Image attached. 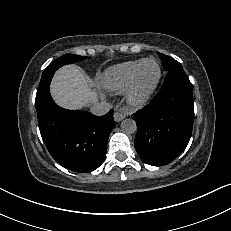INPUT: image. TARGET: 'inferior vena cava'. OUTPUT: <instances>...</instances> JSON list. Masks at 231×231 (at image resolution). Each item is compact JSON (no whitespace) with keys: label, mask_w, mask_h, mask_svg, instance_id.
Masks as SVG:
<instances>
[{"label":"inferior vena cava","mask_w":231,"mask_h":231,"mask_svg":"<svg viewBox=\"0 0 231 231\" xmlns=\"http://www.w3.org/2000/svg\"><path fill=\"white\" fill-rule=\"evenodd\" d=\"M110 109H111V105L109 103L100 102V103L93 105L90 108V111L94 115L102 116V115H105L106 113H108Z\"/></svg>","instance_id":"inferior-vena-cava-1"}]
</instances>
